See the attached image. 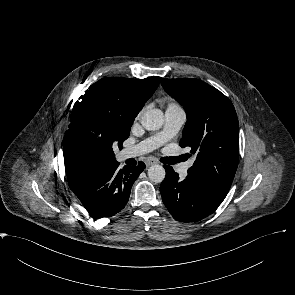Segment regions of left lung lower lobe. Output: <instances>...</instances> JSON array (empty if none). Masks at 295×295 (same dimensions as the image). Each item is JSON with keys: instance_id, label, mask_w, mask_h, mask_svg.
Instances as JSON below:
<instances>
[{"instance_id": "left-lung-lower-lobe-1", "label": "left lung lower lobe", "mask_w": 295, "mask_h": 295, "mask_svg": "<svg viewBox=\"0 0 295 295\" xmlns=\"http://www.w3.org/2000/svg\"><path fill=\"white\" fill-rule=\"evenodd\" d=\"M164 168L166 177L161 183L160 192L175 220L199 221L212 214L224 200L191 176L181 180L172 167L164 165Z\"/></svg>"}]
</instances>
